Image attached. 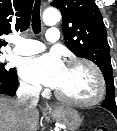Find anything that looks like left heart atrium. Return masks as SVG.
I'll return each mask as SVG.
<instances>
[{"mask_svg": "<svg viewBox=\"0 0 117 131\" xmlns=\"http://www.w3.org/2000/svg\"><path fill=\"white\" fill-rule=\"evenodd\" d=\"M65 65L56 53L24 59L19 67L20 75L27 81L57 88L64 77Z\"/></svg>", "mask_w": 117, "mask_h": 131, "instance_id": "1", "label": "left heart atrium"}]
</instances>
